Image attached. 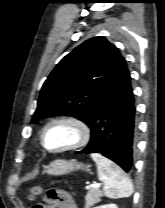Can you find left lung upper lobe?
<instances>
[{"mask_svg":"<svg viewBox=\"0 0 165 208\" xmlns=\"http://www.w3.org/2000/svg\"><path fill=\"white\" fill-rule=\"evenodd\" d=\"M125 66L124 57L106 38L86 40L57 64L43 84L32 123L68 115L89 125L97 106Z\"/></svg>","mask_w":165,"mask_h":208,"instance_id":"1","label":"left lung upper lobe"}]
</instances>
